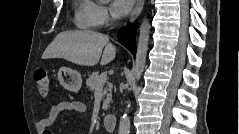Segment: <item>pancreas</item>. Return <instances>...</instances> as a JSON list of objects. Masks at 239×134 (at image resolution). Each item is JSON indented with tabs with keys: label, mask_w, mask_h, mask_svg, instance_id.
Segmentation results:
<instances>
[{
	"label": "pancreas",
	"mask_w": 239,
	"mask_h": 134,
	"mask_svg": "<svg viewBox=\"0 0 239 134\" xmlns=\"http://www.w3.org/2000/svg\"><path fill=\"white\" fill-rule=\"evenodd\" d=\"M100 82V76L98 72H94L86 79V86L89 88V90L94 91L98 84ZM105 84V83H104ZM103 84V85H104ZM112 85L110 83H107V86L103 90V96H107V98L103 101V110H107L109 107V103L112 97L111 93Z\"/></svg>",
	"instance_id": "1"
}]
</instances>
